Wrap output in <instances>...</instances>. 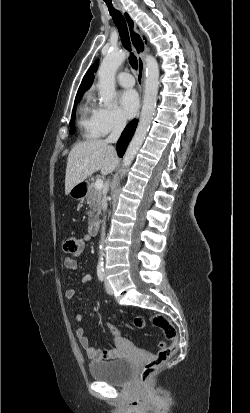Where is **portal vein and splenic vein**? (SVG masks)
<instances>
[{
	"instance_id": "portal-vein-and-splenic-vein-1",
	"label": "portal vein and splenic vein",
	"mask_w": 250,
	"mask_h": 413,
	"mask_svg": "<svg viewBox=\"0 0 250 413\" xmlns=\"http://www.w3.org/2000/svg\"><path fill=\"white\" fill-rule=\"evenodd\" d=\"M95 188L98 189V190L103 188V180L102 179H97L95 181Z\"/></svg>"
}]
</instances>
